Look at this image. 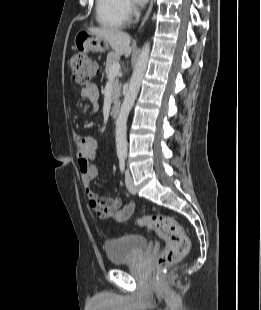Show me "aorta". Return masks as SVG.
Listing matches in <instances>:
<instances>
[{
	"label": "aorta",
	"mask_w": 261,
	"mask_h": 310,
	"mask_svg": "<svg viewBox=\"0 0 261 310\" xmlns=\"http://www.w3.org/2000/svg\"><path fill=\"white\" fill-rule=\"evenodd\" d=\"M150 53V44L146 43L137 59L130 79L129 88L124 97L120 112L116 121V149L118 156L127 155V119L134 105L143 80Z\"/></svg>",
	"instance_id": "obj_1"
}]
</instances>
